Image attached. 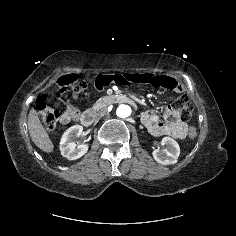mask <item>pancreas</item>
Wrapping results in <instances>:
<instances>
[{
  "instance_id": "cf45deb5",
  "label": "pancreas",
  "mask_w": 236,
  "mask_h": 236,
  "mask_svg": "<svg viewBox=\"0 0 236 236\" xmlns=\"http://www.w3.org/2000/svg\"><path fill=\"white\" fill-rule=\"evenodd\" d=\"M111 100L112 99L109 96H105L103 98H100L93 104L92 109L97 111L101 108H104L111 103Z\"/></svg>"
}]
</instances>
